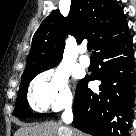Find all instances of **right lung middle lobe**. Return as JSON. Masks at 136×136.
<instances>
[{
  "instance_id": "obj_1",
  "label": "right lung middle lobe",
  "mask_w": 136,
  "mask_h": 136,
  "mask_svg": "<svg viewBox=\"0 0 136 136\" xmlns=\"http://www.w3.org/2000/svg\"><path fill=\"white\" fill-rule=\"evenodd\" d=\"M39 73H41V72L29 75V76L22 79L21 85L19 87L18 96L16 99L15 109L13 111L14 116H16V117H31V116H33L29 112V107H28V102H27V88H28V84L30 83V81Z\"/></svg>"
}]
</instances>
